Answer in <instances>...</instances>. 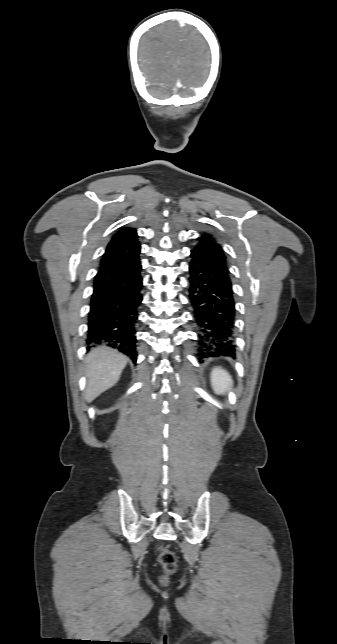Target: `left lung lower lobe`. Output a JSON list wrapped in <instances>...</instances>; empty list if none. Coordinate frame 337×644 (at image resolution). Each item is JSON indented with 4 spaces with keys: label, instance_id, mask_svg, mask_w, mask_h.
I'll list each match as a JSON object with an SVG mask.
<instances>
[{
    "label": "left lung lower lobe",
    "instance_id": "obj_1",
    "mask_svg": "<svg viewBox=\"0 0 337 644\" xmlns=\"http://www.w3.org/2000/svg\"><path fill=\"white\" fill-rule=\"evenodd\" d=\"M189 300L202 357L233 354L235 301L229 274L216 262L191 251Z\"/></svg>",
    "mask_w": 337,
    "mask_h": 644
}]
</instances>
